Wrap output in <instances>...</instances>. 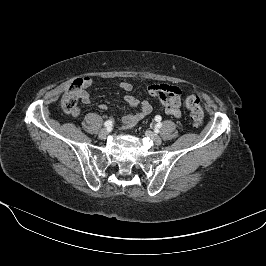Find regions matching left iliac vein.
I'll use <instances>...</instances> for the list:
<instances>
[{
	"label": "left iliac vein",
	"mask_w": 266,
	"mask_h": 266,
	"mask_svg": "<svg viewBox=\"0 0 266 266\" xmlns=\"http://www.w3.org/2000/svg\"><path fill=\"white\" fill-rule=\"evenodd\" d=\"M145 135L150 138L155 145H160L162 142L161 138L152 131H146Z\"/></svg>",
	"instance_id": "4c4485c4"
}]
</instances>
